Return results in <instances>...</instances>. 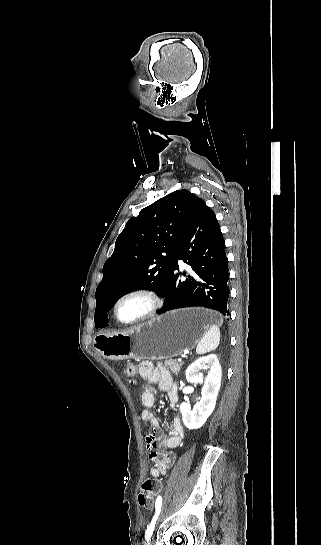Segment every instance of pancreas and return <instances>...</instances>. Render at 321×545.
<instances>
[{
	"label": "pancreas",
	"instance_id": "obj_1",
	"mask_svg": "<svg viewBox=\"0 0 321 545\" xmlns=\"http://www.w3.org/2000/svg\"><path fill=\"white\" fill-rule=\"evenodd\" d=\"M164 365L165 367H168V369H170L171 373H174V375H177L183 363H179L177 359H168V361H164Z\"/></svg>",
	"mask_w": 321,
	"mask_h": 545
}]
</instances>
